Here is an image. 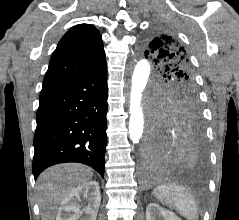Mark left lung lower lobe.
Instances as JSON below:
<instances>
[{
    "mask_svg": "<svg viewBox=\"0 0 239 220\" xmlns=\"http://www.w3.org/2000/svg\"><path fill=\"white\" fill-rule=\"evenodd\" d=\"M206 158L200 112H167L155 108L143 148V169L155 174L167 165L197 164Z\"/></svg>",
    "mask_w": 239,
    "mask_h": 220,
    "instance_id": "1",
    "label": "left lung lower lobe"
}]
</instances>
